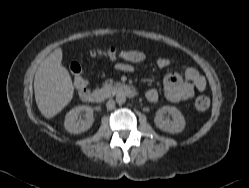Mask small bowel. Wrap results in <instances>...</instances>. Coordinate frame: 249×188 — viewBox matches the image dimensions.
<instances>
[{"instance_id":"1","label":"small bowel","mask_w":249,"mask_h":188,"mask_svg":"<svg viewBox=\"0 0 249 188\" xmlns=\"http://www.w3.org/2000/svg\"><path fill=\"white\" fill-rule=\"evenodd\" d=\"M132 53H139L140 58H125L126 62L119 63L117 69L123 72H132L133 66L130 63H138L144 59V54L138 50H128ZM171 61L166 57H160L157 60V66L160 69H166L170 66ZM206 88L205 79L193 67L185 68L183 74L173 72L168 74L164 80V93L167 100L171 102H183L192 99L196 91L203 92ZM146 98L149 102L157 104L160 100L158 91L155 88L146 90Z\"/></svg>"}]
</instances>
